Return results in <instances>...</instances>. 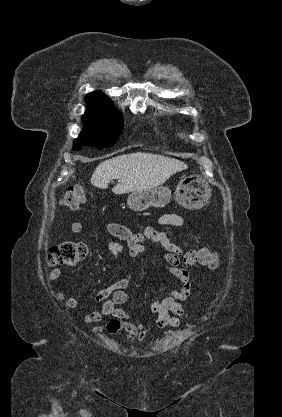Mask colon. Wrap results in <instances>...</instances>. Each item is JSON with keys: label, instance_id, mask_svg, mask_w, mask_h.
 <instances>
[{"label": "colon", "instance_id": "obj_1", "mask_svg": "<svg viewBox=\"0 0 282 417\" xmlns=\"http://www.w3.org/2000/svg\"><path fill=\"white\" fill-rule=\"evenodd\" d=\"M85 188L76 185L68 189L61 199V203L70 208H75L85 201ZM87 255L85 245L75 241L61 240L53 245L48 253V264L51 267L76 265ZM219 263L218 253L202 248L190 251L186 254L183 266H174L175 271L180 272L185 267L199 264L201 267L215 269Z\"/></svg>", "mask_w": 282, "mask_h": 417}]
</instances>
